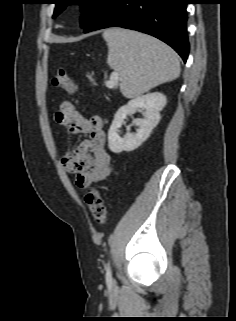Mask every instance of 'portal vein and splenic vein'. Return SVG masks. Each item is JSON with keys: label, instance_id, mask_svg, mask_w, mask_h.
<instances>
[{"label": "portal vein and splenic vein", "instance_id": "18ae733b", "mask_svg": "<svg viewBox=\"0 0 236 321\" xmlns=\"http://www.w3.org/2000/svg\"><path fill=\"white\" fill-rule=\"evenodd\" d=\"M117 75L114 74L112 77H111V80L107 82V87H113L114 86V82L116 81L117 79Z\"/></svg>", "mask_w": 236, "mask_h": 321}]
</instances>
